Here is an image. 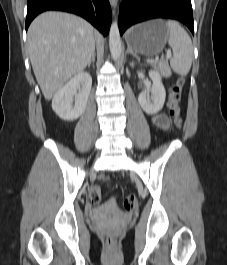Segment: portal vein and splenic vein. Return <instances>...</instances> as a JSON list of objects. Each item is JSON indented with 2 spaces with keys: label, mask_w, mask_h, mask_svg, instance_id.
I'll list each match as a JSON object with an SVG mask.
<instances>
[{
  "label": "portal vein and splenic vein",
  "mask_w": 227,
  "mask_h": 265,
  "mask_svg": "<svg viewBox=\"0 0 227 265\" xmlns=\"http://www.w3.org/2000/svg\"><path fill=\"white\" fill-rule=\"evenodd\" d=\"M171 56H172L171 51H167L166 58L169 59L171 58Z\"/></svg>",
  "instance_id": "obj_1"
}]
</instances>
